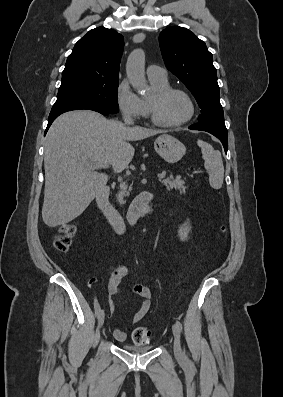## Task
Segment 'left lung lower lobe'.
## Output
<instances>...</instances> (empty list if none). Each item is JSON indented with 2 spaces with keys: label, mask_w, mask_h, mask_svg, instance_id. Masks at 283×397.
I'll return each instance as SVG.
<instances>
[{
  "label": "left lung lower lobe",
  "mask_w": 283,
  "mask_h": 397,
  "mask_svg": "<svg viewBox=\"0 0 283 397\" xmlns=\"http://www.w3.org/2000/svg\"><path fill=\"white\" fill-rule=\"evenodd\" d=\"M191 130H201L211 133L216 136L223 144L224 150L227 153L228 150V133L226 127H220L216 124L211 123H196L189 127Z\"/></svg>",
  "instance_id": "left-lung-lower-lobe-1"
}]
</instances>
